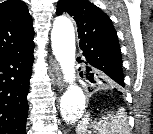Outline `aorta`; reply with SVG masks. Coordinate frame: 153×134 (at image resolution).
I'll return each instance as SVG.
<instances>
[{
	"label": "aorta",
	"mask_w": 153,
	"mask_h": 134,
	"mask_svg": "<svg viewBox=\"0 0 153 134\" xmlns=\"http://www.w3.org/2000/svg\"><path fill=\"white\" fill-rule=\"evenodd\" d=\"M52 51L60 64L64 80L69 86L60 99L63 120L75 123L84 113L86 97L75 83V31L72 22L65 17L54 21L51 31Z\"/></svg>",
	"instance_id": "aorta-1"
}]
</instances>
